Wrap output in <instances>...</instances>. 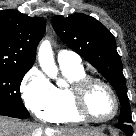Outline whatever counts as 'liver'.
<instances>
[{"instance_id": "6515ba94", "label": "liver", "mask_w": 136, "mask_h": 136, "mask_svg": "<svg viewBox=\"0 0 136 136\" xmlns=\"http://www.w3.org/2000/svg\"><path fill=\"white\" fill-rule=\"evenodd\" d=\"M105 136L97 128H46L36 123L22 122L0 116V136Z\"/></svg>"}]
</instances>
